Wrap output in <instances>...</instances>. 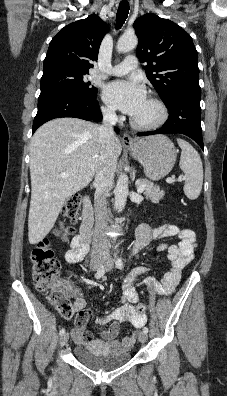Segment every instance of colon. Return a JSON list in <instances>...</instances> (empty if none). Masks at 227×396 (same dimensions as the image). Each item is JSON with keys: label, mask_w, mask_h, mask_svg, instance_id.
I'll list each match as a JSON object with an SVG mask.
<instances>
[{"label": "colon", "mask_w": 227, "mask_h": 396, "mask_svg": "<svg viewBox=\"0 0 227 396\" xmlns=\"http://www.w3.org/2000/svg\"><path fill=\"white\" fill-rule=\"evenodd\" d=\"M81 202V196L78 194L70 196L65 201L62 209L64 220L54 228L55 236L66 239L74 233L73 225L78 220ZM30 260L36 288L41 292L48 293L50 302L63 317H72L74 314L73 307L58 279L60 263L55 257L48 239H43L35 244L30 253ZM136 310L139 313H145L147 306L144 303H138Z\"/></svg>", "instance_id": "obj_1"}]
</instances>
